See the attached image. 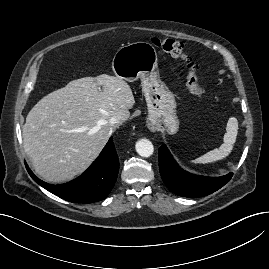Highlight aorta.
<instances>
[{
	"instance_id": "762f6f07",
	"label": "aorta",
	"mask_w": 269,
	"mask_h": 269,
	"mask_svg": "<svg viewBox=\"0 0 269 269\" xmlns=\"http://www.w3.org/2000/svg\"><path fill=\"white\" fill-rule=\"evenodd\" d=\"M136 152L142 157H149L154 152L153 144L148 139H140L135 145Z\"/></svg>"
}]
</instances>
